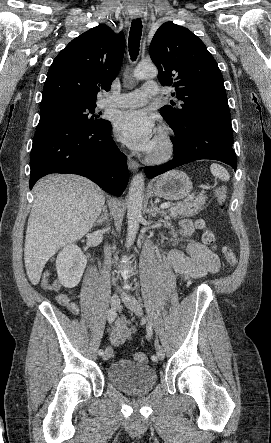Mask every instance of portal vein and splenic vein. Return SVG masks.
<instances>
[{
	"instance_id": "18ae733b",
	"label": "portal vein and splenic vein",
	"mask_w": 271,
	"mask_h": 443,
	"mask_svg": "<svg viewBox=\"0 0 271 443\" xmlns=\"http://www.w3.org/2000/svg\"><path fill=\"white\" fill-rule=\"evenodd\" d=\"M194 194L190 193V198H186V200H184V202H189V200H193ZM170 206H172V204H170V202H167V204H161L160 208L161 210H164V208H170Z\"/></svg>"
}]
</instances>
